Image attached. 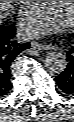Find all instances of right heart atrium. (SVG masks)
<instances>
[{
  "instance_id": "1",
  "label": "right heart atrium",
  "mask_w": 74,
  "mask_h": 122,
  "mask_svg": "<svg viewBox=\"0 0 74 122\" xmlns=\"http://www.w3.org/2000/svg\"><path fill=\"white\" fill-rule=\"evenodd\" d=\"M18 7V14L20 16L27 15L29 11L32 9L33 5L37 1H15Z\"/></svg>"
}]
</instances>
